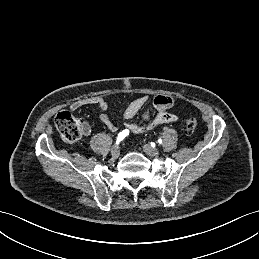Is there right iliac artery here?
Listing matches in <instances>:
<instances>
[{
    "label": "right iliac artery",
    "mask_w": 259,
    "mask_h": 259,
    "mask_svg": "<svg viewBox=\"0 0 259 259\" xmlns=\"http://www.w3.org/2000/svg\"><path fill=\"white\" fill-rule=\"evenodd\" d=\"M127 135H129V130H123L122 132H120L118 134V137H117V144L122 141Z\"/></svg>",
    "instance_id": "82829eb1"
}]
</instances>
